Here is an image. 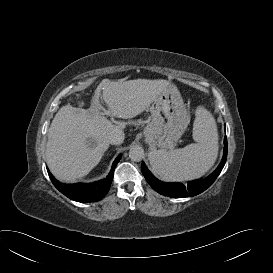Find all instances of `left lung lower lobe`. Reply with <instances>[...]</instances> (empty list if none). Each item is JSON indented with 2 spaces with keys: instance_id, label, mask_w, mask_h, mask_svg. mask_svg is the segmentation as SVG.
Returning <instances> with one entry per match:
<instances>
[{
  "instance_id": "left-lung-lower-lobe-1",
  "label": "left lung lower lobe",
  "mask_w": 273,
  "mask_h": 273,
  "mask_svg": "<svg viewBox=\"0 0 273 273\" xmlns=\"http://www.w3.org/2000/svg\"><path fill=\"white\" fill-rule=\"evenodd\" d=\"M227 159V138H224V154L221 160V163L216 168V170L206 177L203 180H198L194 182L188 183V185L184 184H173V183H165L157 178H155L152 173L148 170L145 163H142L141 170L142 173L149 183V185L158 193L173 197V198H183V197H192L200 194L205 191L208 187H210L213 182L216 180L220 172L222 171Z\"/></svg>"
}]
</instances>
